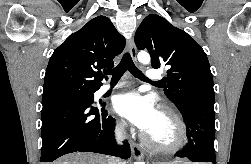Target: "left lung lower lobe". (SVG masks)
Segmentation results:
<instances>
[{
  "label": "left lung lower lobe",
  "instance_id": "1",
  "mask_svg": "<svg viewBox=\"0 0 251 164\" xmlns=\"http://www.w3.org/2000/svg\"><path fill=\"white\" fill-rule=\"evenodd\" d=\"M179 111L186 124L187 144L176 153V156L189 159L192 162L216 164L214 106L190 103L182 106Z\"/></svg>",
  "mask_w": 251,
  "mask_h": 164
}]
</instances>
